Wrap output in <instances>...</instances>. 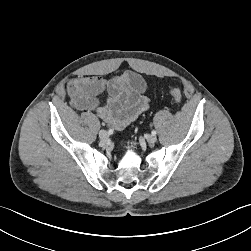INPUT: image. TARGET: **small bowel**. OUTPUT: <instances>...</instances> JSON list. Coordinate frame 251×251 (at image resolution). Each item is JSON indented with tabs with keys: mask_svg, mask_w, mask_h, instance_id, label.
Returning a JSON list of instances; mask_svg holds the SVG:
<instances>
[{
	"mask_svg": "<svg viewBox=\"0 0 251 251\" xmlns=\"http://www.w3.org/2000/svg\"><path fill=\"white\" fill-rule=\"evenodd\" d=\"M146 88L140 74L126 71L108 79L99 76L74 78L68 82L67 92L75 109L94 113L112 128L122 130L148 109ZM104 93L106 100L101 105L100 97Z\"/></svg>",
	"mask_w": 251,
	"mask_h": 251,
	"instance_id": "obj_1",
	"label": "small bowel"
}]
</instances>
